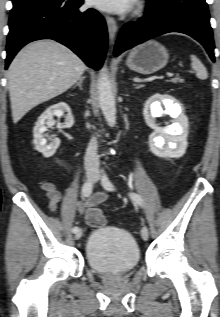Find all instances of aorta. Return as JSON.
<instances>
[{
    "mask_svg": "<svg viewBox=\"0 0 220 317\" xmlns=\"http://www.w3.org/2000/svg\"><path fill=\"white\" fill-rule=\"evenodd\" d=\"M98 99L100 108L110 127L116 124V106L115 95L112 90V84L108 76L106 63L100 70L98 78Z\"/></svg>",
    "mask_w": 220,
    "mask_h": 317,
    "instance_id": "762f6f07",
    "label": "aorta"
}]
</instances>
